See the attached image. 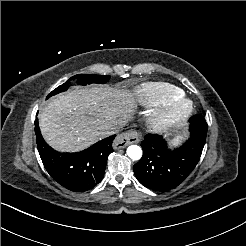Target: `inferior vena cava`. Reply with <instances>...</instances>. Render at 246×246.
<instances>
[{"mask_svg": "<svg viewBox=\"0 0 246 246\" xmlns=\"http://www.w3.org/2000/svg\"><path fill=\"white\" fill-rule=\"evenodd\" d=\"M119 131V127H115V128H112L110 131H109V135H113V134H116L117 132Z\"/></svg>", "mask_w": 246, "mask_h": 246, "instance_id": "obj_1", "label": "inferior vena cava"}]
</instances>
